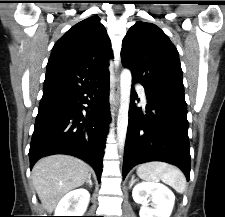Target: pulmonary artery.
<instances>
[{
	"mask_svg": "<svg viewBox=\"0 0 225 217\" xmlns=\"http://www.w3.org/2000/svg\"><path fill=\"white\" fill-rule=\"evenodd\" d=\"M138 94L140 95L141 99L146 102L145 90L142 86L138 85L136 87Z\"/></svg>",
	"mask_w": 225,
	"mask_h": 217,
	"instance_id": "obj_1",
	"label": "pulmonary artery"
}]
</instances>
